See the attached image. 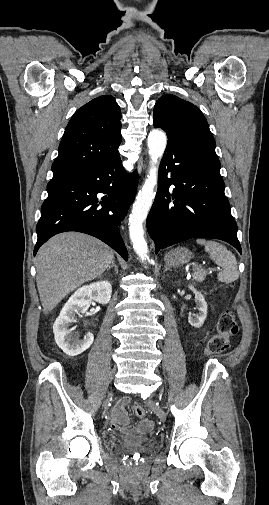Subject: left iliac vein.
I'll return each instance as SVG.
<instances>
[{
  "mask_svg": "<svg viewBox=\"0 0 269 505\" xmlns=\"http://www.w3.org/2000/svg\"><path fill=\"white\" fill-rule=\"evenodd\" d=\"M145 407L149 409L150 412H156L157 416L162 422H165L166 420V413L165 411L158 407V404L155 403L153 400H148L145 402Z\"/></svg>",
  "mask_w": 269,
  "mask_h": 505,
  "instance_id": "obj_1",
  "label": "left iliac vein"
}]
</instances>
